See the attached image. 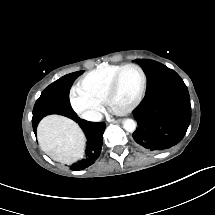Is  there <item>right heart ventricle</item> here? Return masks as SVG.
I'll use <instances>...</instances> for the list:
<instances>
[{
  "label": "right heart ventricle",
  "instance_id": "e07e8e85",
  "mask_svg": "<svg viewBox=\"0 0 215 215\" xmlns=\"http://www.w3.org/2000/svg\"><path fill=\"white\" fill-rule=\"evenodd\" d=\"M117 66L108 63L83 78L80 89L88 102L98 103L105 98L117 74Z\"/></svg>",
  "mask_w": 215,
  "mask_h": 215
}]
</instances>
